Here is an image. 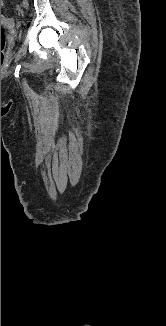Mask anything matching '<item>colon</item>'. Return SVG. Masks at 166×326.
<instances>
[{
	"mask_svg": "<svg viewBox=\"0 0 166 326\" xmlns=\"http://www.w3.org/2000/svg\"><path fill=\"white\" fill-rule=\"evenodd\" d=\"M1 6H2V2H1ZM5 43H6V35H5L4 31L1 29V66L3 65V62H4L3 50L5 47Z\"/></svg>",
	"mask_w": 166,
	"mask_h": 326,
	"instance_id": "colon-1",
	"label": "colon"
}]
</instances>
